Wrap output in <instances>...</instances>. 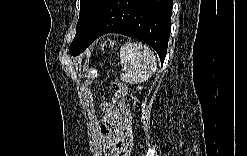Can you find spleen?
I'll return each instance as SVG.
<instances>
[{
    "mask_svg": "<svg viewBox=\"0 0 247 156\" xmlns=\"http://www.w3.org/2000/svg\"><path fill=\"white\" fill-rule=\"evenodd\" d=\"M121 80L129 84L146 81L157 70V60L148 46L126 43L120 49Z\"/></svg>",
    "mask_w": 247,
    "mask_h": 156,
    "instance_id": "1",
    "label": "spleen"
}]
</instances>
